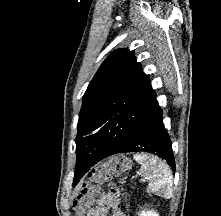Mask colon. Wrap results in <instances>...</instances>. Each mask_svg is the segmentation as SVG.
I'll list each match as a JSON object with an SVG mask.
<instances>
[{
  "instance_id": "1",
  "label": "colon",
  "mask_w": 221,
  "mask_h": 216,
  "mask_svg": "<svg viewBox=\"0 0 221 216\" xmlns=\"http://www.w3.org/2000/svg\"><path fill=\"white\" fill-rule=\"evenodd\" d=\"M131 168V162L127 158L118 157L111 158L95 168L91 174V178L95 182L103 179H109L114 172H126ZM111 191L115 192L116 188L111 187ZM94 189H84L78 198L74 201L73 206L76 216H87V212L92 204V193Z\"/></svg>"
}]
</instances>
